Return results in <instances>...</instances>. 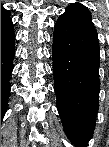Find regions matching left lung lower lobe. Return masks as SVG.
Here are the masks:
<instances>
[{"label":"left lung lower lobe","mask_w":109,"mask_h":147,"mask_svg":"<svg viewBox=\"0 0 109 147\" xmlns=\"http://www.w3.org/2000/svg\"><path fill=\"white\" fill-rule=\"evenodd\" d=\"M99 50L91 13L81 4H70L54 28L53 75L64 131L80 147L93 137L99 109Z\"/></svg>","instance_id":"1"}]
</instances>
